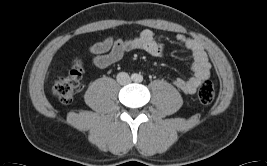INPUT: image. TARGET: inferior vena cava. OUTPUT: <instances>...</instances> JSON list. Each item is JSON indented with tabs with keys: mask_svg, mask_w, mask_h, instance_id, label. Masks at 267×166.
<instances>
[{
	"mask_svg": "<svg viewBox=\"0 0 267 166\" xmlns=\"http://www.w3.org/2000/svg\"><path fill=\"white\" fill-rule=\"evenodd\" d=\"M131 81L130 76L126 72H120L117 75V82L121 85H126Z\"/></svg>",
	"mask_w": 267,
	"mask_h": 166,
	"instance_id": "602c4592",
	"label": "inferior vena cava"
}]
</instances>
